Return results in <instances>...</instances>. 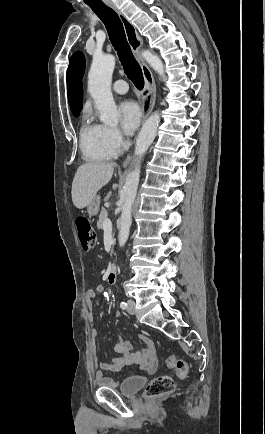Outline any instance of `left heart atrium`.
Returning <instances> with one entry per match:
<instances>
[{"label":"left heart atrium","instance_id":"39dd6f15","mask_svg":"<svg viewBox=\"0 0 265 434\" xmlns=\"http://www.w3.org/2000/svg\"><path fill=\"white\" fill-rule=\"evenodd\" d=\"M120 126L124 133L132 134L141 119V109L135 101H124L119 106Z\"/></svg>","mask_w":265,"mask_h":434}]
</instances>
